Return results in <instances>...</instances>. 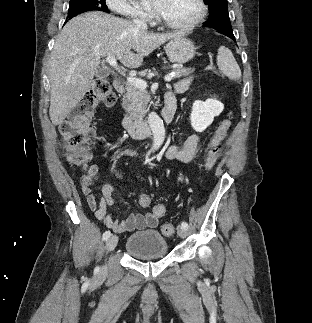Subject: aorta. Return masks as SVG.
<instances>
[{"label":"aorta","mask_w":312,"mask_h":323,"mask_svg":"<svg viewBox=\"0 0 312 323\" xmlns=\"http://www.w3.org/2000/svg\"><path fill=\"white\" fill-rule=\"evenodd\" d=\"M148 124L153 134L152 148L153 150H158L165 140V128L163 120H161V118H159L155 112H151V114H149Z\"/></svg>","instance_id":"obj_1"}]
</instances>
